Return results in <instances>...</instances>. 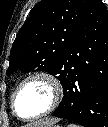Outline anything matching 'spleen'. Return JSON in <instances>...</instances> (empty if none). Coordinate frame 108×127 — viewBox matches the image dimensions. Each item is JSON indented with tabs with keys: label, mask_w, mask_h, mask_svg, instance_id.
<instances>
[{
	"label": "spleen",
	"mask_w": 108,
	"mask_h": 127,
	"mask_svg": "<svg viewBox=\"0 0 108 127\" xmlns=\"http://www.w3.org/2000/svg\"><path fill=\"white\" fill-rule=\"evenodd\" d=\"M68 127H81V126L71 123L68 125Z\"/></svg>",
	"instance_id": "1"
}]
</instances>
